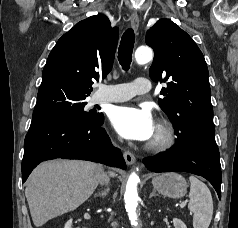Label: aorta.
<instances>
[{
    "label": "aorta",
    "instance_id": "aorta-1",
    "mask_svg": "<svg viewBox=\"0 0 238 228\" xmlns=\"http://www.w3.org/2000/svg\"><path fill=\"white\" fill-rule=\"evenodd\" d=\"M152 58L153 51L149 47H139L135 52V59L138 64H146L150 62ZM139 180V176L135 172L131 173L126 184V190L124 194L125 208L128 212L132 225H136L138 221L136 209L138 206L137 185Z\"/></svg>",
    "mask_w": 238,
    "mask_h": 228
}]
</instances>
